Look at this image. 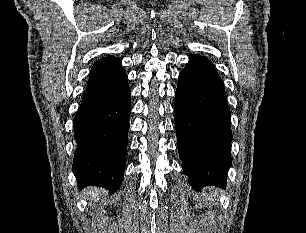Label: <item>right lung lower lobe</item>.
<instances>
[{
	"label": "right lung lower lobe",
	"instance_id": "1",
	"mask_svg": "<svg viewBox=\"0 0 306 233\" xmlns=\"http://www.w3.org/2000/svg\"><path fill=\"white\" fill-rule=\"evenodd\" d=\"M130 96L124 69L86 88L74 118L77 148L72 171L80 188L89 184L110 192L120 188L126 164Z\"/></svg>",
	"mask_w": 306,
	"mask_h": 233
}]
</instances>
